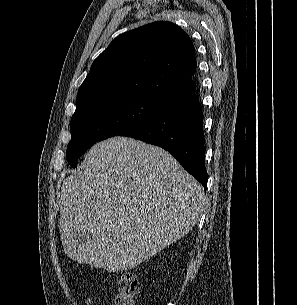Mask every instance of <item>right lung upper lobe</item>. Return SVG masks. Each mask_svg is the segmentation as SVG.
<instances>
[{"label": "right lung upper lobe", "instance_id": "cb5924a9", "mask_svg": "<svg viewBox=\"0 0 297 305\" xmlns=\"http://www.w3.org/2000/svg\"><path fill=\"white\" fill-rule=\"evenodd\" d=\"M194 46L177 25L157 21L123 33L93 62L77 94L79 109L124 94L173 102L195 91Z\"/></svg>", "mask_w": 297, "mask_h": 305}]
</instances>
